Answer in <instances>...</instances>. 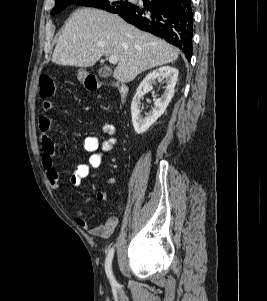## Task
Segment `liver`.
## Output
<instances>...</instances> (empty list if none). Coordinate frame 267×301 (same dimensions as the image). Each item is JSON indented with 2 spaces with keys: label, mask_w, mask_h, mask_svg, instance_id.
<instances>
[{
  "label": "liver",
  "mask_w": 267,
  "mask_h": 301,
  "mask_svg": "<svg viewBox=\"0 0 267 301\" xmlns=\"http://www.w3.org/2000/svg\"><path fill=\"white\" fill-rule=\"evenodd\" d=\"M178 55L166 41L126 23L116 14L81 8L64 26L52 62L92 67L102 56H116L113 77L128 83L146 70L174 62Z\"/></svg>",
  "instance_id": "obj_1"
}]
</instances>
